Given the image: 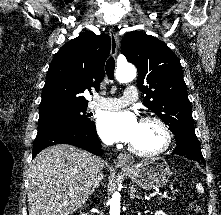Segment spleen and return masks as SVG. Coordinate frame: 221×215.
Instances as JSON below:
<instances>
[{
	"mask_svg": "<svg viewBox=\"0 0 221 215\" xmlns=\"http://www.w3.org/2000/svg\"><path fill=\"white\" fill-rule=\"evenodd\" d=\"M197 190H198L200 193L204 192V188L202 187L201 184H197Z\"/></svg>",
	"mask_w": 221,
	"mask_h": 215,
	"instance_id": "obj_1",
	"label": "spleen"
}]
</instances>
